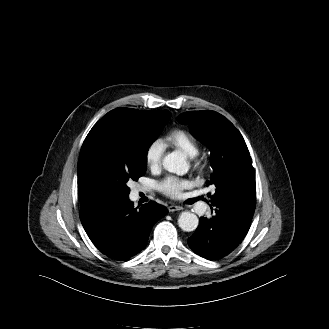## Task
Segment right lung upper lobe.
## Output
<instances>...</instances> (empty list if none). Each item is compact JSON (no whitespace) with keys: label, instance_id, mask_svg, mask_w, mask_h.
Here are the masks:
<instances>
[{"label":"right lung upper lobe","instance_id":"obj_1","mask_svg":"<svg viewBox=\"0 0 329 329\" xmlns=\"http://www.w3.org/2000/svg\"><path fill=\"white\" fill-rule=\"evenodd\" d=\"M112 111H114V112L118 111V112L125 114L139 126L148 125V123L151 122L158 115H165V114L170 113L167 110H164V111H140V110H135V109H130V108H117ZM98 137H99V134L96 132L95 128L93 127L91 129V131L89 132V134L87 135L86 139L84 140L81 151L84 150L87 147V145H89L91 142L98 139Z\"/></svg>","mask_w":329,"mask_h":329}]
</instances>
